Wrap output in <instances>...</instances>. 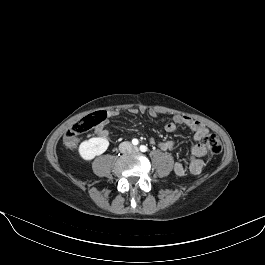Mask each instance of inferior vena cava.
<instances>
[{"label": "inferior vena cava", "instance_id": "obj_1", "mask_svg": "<svg viewBox=\"0 0 265 265\" xmlns=\"http://www.w3.org/2000/svg\"><path fill=\"white\" fill-rule=\"evenodd\" d=\"M131 149H132V144L128 141L122 142L119 145V150L122 153H125L126 151L131 150Z\"/></svg>", "mask_w": 265, "mask_h": 265}]
</instances>
